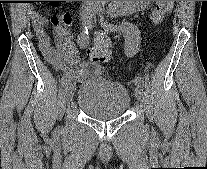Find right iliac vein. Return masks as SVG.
Masks as SVG:
<instances>
[{"mask_svg": "<svg viewBox=\"0 0 207 169\" xmlns=\"http://www.w3.org/2000/svg\"><path fill=\"white\" fill-rule=\"evenodd\" d=\"M73 93H74V86L72 83L68 82L65 86V98L67 103H70V101L72 100Z\"/></svg>", "mask_w": 207, "mask_h": 169, "instance_id": "1", "label": "right iliac vein"}]
</instances>
